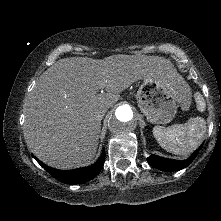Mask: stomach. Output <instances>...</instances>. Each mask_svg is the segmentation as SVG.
Returning a JSON list of instances; mask_svg holds the SVG:
<instances>
[{
  "label": "stomach",
  "mask_w": 221,
  "mask_h": 221,
  "mask_svg": "<svg viewBox=\"0 0 221 221\" xmlns=\"http://www.w3.org/2000/svg\"><path fill=\"white\" fill-rule=\"evenodd\" d=\"M136 99L148 121L166 124L175 117L177 106L188 109L191 98L188 85L178 73H174L169 77L144 79Z\"/></svg>",
  "instance_id": "stomach-1"
}]
</instances>
